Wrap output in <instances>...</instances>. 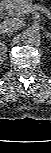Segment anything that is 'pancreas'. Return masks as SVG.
I'll list each match as a JSON object with an SVG mask.
<instances>
[{
    "label": "pancreas",
    "instance_id": "pancreas-1",
    "mask_svg": "<svg viewBox=\"0 0 51 153\" xmlns=\"http://www.w3.org/2000/svg\"><path fill=\"white\" fill-rule=\"evenodd\" d=\"M33 5L32 0H19L15 2L8 10L9 16L24 17L28 12V6Z\"/></svg>",
    "mask_w": 51,
    "mask_h": 153
}]
</instances>
